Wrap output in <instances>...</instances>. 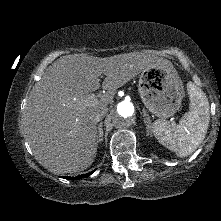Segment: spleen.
Wrapping results in <instances>:
<instances>
[{
  "mask_svg": "<svg viewBox=\"0 0 221 221\" xmlns=\"http://www.w3.org/2000/svg\"><path fill=\"white\" fill-rule=\"evenodd\" d=\"M190 110L178 125L166 120H156L152 130L157 140L179 157L192 154L202 143L209 126V102L206 94L193 82L187 83Z\"/></svg>",
  "mask_w": 221,
  "mask_h": 221,
  "instance_id": "1",
  "label": "spleen"
}]
</instances>
